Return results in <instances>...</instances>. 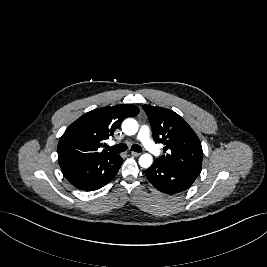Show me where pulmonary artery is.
<instances>
[{
  "label": "pulmonary artery",
  "instance_id": "pulmonary-artery-1",
  "mask_svg": "<svg viewBox=\"0 0 267 267\" xmlns=\"http://www.w3.org/2000/svg\"><path fill=\"white\" fill-rule=\"evenodd\" d=\"M136 138L152 154L157 155L159 153V150L157 149V147L155 146V144L153 143V141L150 138V129L148 126L143 125L140 128Z\"/></svg>",
  "mask_w": 267,
  "mask_h": 267
}]
</instances>
